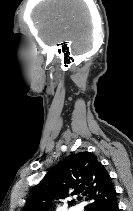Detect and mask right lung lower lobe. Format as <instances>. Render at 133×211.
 Wrapping results in <instances>:
<instances>
[{
    "label": "right lung lower lobe",
    "mask_w": 133,
    "mask_h": 211,
    "mask_svg": "<svg viewBox=\"0 0 133 211\" xmlns=\"http://www.w3.org/2000/svg\"><path fill=\"white\" fill-rule=\"evenodd\" d=\"M96 211H119L117 201H115L111 205L102 206L98 208Z\"/></svg>",
    "instance_id": "right-lung-lower-lobe-1"
}]
</instances>
